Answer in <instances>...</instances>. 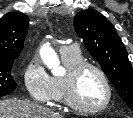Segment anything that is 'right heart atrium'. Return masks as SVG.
Returning <instances> with one entry per match:
<instances>
[{
    "label": "right heart atrium",
    "instance_id": "d8ad5b80",
    "mask_svg": "<svg viewBox=\"0 0 133 118\" xmlns=\"http://www.w3.org/2000/svg\"><path fill=\"white\" fill-rule=\"evenodd\" d=\"M23 81L29 96L34 101L47 104L53 99L52 77L37 58H31L26 63Z\"/></svg>",
    "mask_w": 133,
    "mask_h": 118
}]
</instances>
